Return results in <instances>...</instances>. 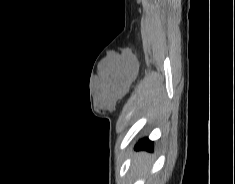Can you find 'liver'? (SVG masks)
<instances>
[{
  "label": "liver",
  "mask_w": 235,
  "mask_h": 184,
  "mask_svg": "<svg viewBox=\"0 0 235 184\" xmlns=\"http://www.w3.org/2000/svg\"><path fill=\"white\" fill-rule=\"evenodd\" d=\"M149 156L146 152H140V154H136L135 160L133 162V174H137V176H144L146 172H148L149 168Z\"/></svg>",
  "instance_id": "liver-1"
}]
</instances>
